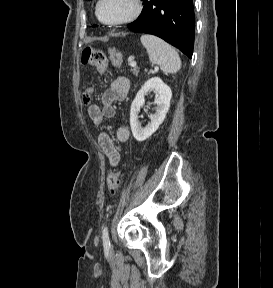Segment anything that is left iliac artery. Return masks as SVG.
<instances>
[{
  "mask_svg": "<svg viewBox=\"0 0 273 288\" xmlns=\"http://www.w3.org/2000/svg\"><path fill=\"white\" fill-rule=\"evenodd\" d=\"M102 240H103V245L105 248H109L110 247V240H109V233H108V228L107 226H105L103 228V231H102Z\"/></svg>",
  "mask_w": 273,
  "mask_h": 288,
  "instance_id": "left-iliac-artery-1",
  "label": "left iliac artery"
}]
</instances>
